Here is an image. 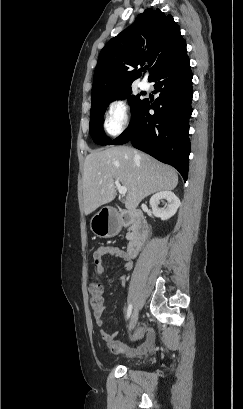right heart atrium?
Returning a JSON list of instances; mask_svg holds the SVG:
<instances>
[{
  "label": "right heart atrium",
  "instance_id": "1",
  "mask_svg": "<svg viewBox=\"0 0 243 409\" xmlns=\"http://www.w3.org/2000/svg\"><path fill=\"white\" fill-rule=\"evenodd\" d=\"M130 121L129 106L123 98H113L108 102L104 126L106 132L111 136L121 134Z\"/></svg>",
  "mask_w": 243,
  "mask_h": 409
}]
</instances>
